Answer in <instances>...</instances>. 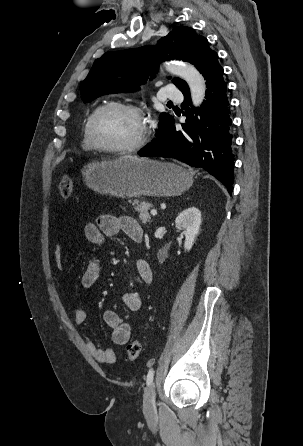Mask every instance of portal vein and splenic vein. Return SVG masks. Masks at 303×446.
<instances>
[{
    "mask_svg": "<svg viewBox=\"0 0 303 446\" xmlns=\"http://www.w3.org/2000/svg\"><path fill=\"white\" fill-rule=\"evenodd\" d=\"M151 214H152L153 216H156V215H157V211H156L155 209H152V210H151Z\"/></svg>",
    "mask_w": 303,
    "mask_h": 446,
    "instance_id": "1",
    "label": "portal vein and splenic vein"
}]
</instances>
